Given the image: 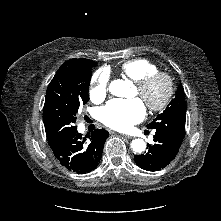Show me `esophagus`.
<instances>
[{"mask_svg":"<svg viewBox=\"0 0 221 221\" xmlns=\"http://www.w3.org/2000/svg\"><path fill=\"white\" fill-rule=\"evenodd\" d=\"M124 138H127V139H132L133 137L132 136H129V135H126V134H123L122 135Z\"/></svg>","mask_w":221,"mask_h":221,"instance_id":"1","label":"esophagus"}]
</instances>
